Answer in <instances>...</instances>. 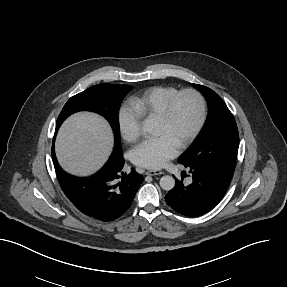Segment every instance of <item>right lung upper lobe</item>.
<instances>
[{
  "instance_id": "obj_1",
  "label": "right lung upper lobe",
  "mask_w": 287,
  "mask_h": 287,
  "mask_svg": "<svg viewBox=\"0 0 287 287\" xmlns=\"http://www.w3.org/2000/svg\"><path fill=\"white\" fill-rule=\"evenodd\" d=\"M60 125L61 124H59V123H57V128H56V132H57V130H58V128L60 127ZM56 132H55V134H56ZM54 153V144H53V146H52V154ZM114 153V152H113ZM117 152H115L114 154H116Z\"/></svg>"
}]
</instances>
